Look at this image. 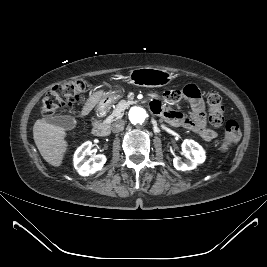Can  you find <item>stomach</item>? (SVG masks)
<instances>
[{
	"instance_id": "0dacf381",
	"label": "stomach",
	"mask_w": 267,
	"mask_h": 267,
	"mask_svg": "<svg viewBox=\"0 0 267 267\" xmlns=\"http://www.w3.org/2000/svg\"><path fill=\"white\" fill-rule=\"evenodd\" d=\"M129 81L136 86L162 87L171 82L175 75L162 69L140 67L129 72ZM121 87L105 92L96 104L97 111H103L121 96Z\"/></svg>"
}]
</instances>
